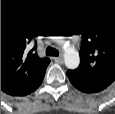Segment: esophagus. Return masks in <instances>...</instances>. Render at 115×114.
<instances>
[{"label": "esophagus", "instance_id": "obj_1", "mask_svg": "<svg viewBox=\"0 0 115 114\" xmlns=\"http://www.w3.org/2000/svg\"><path fill=\"white\" fill-rule=\"evenodd\" d=\"M53 60H54L56 63H59V64L63 63V58H62L61 56H59V57H54Z\"/></svg>", "mask_w": 115, "mask_h": 114}]
</instances>
